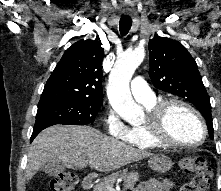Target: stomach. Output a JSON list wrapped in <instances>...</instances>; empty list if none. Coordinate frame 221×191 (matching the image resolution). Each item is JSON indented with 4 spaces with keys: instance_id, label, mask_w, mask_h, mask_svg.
Listing matches in <instances>:
<instances>
[{
    "instance_id": "obj_1",
    "label": "stomach",
    "mask_w": 221,
    "mask_h": 191,
    "mask_svg": "<svg viewBox=\"0 0 221 191\" xmlns=\"http://www.w3.org/2000/svg\"><path fill=\"white\" fill-rule=\"evenodd\" d=\"M148 165L156 172L165 173L172 167V161L169 157L163 154L151 155L148 160Z\"/></svg>"
}]
</instances>
